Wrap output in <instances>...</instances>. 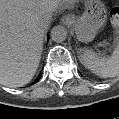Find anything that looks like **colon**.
<instances>
[{
    "instance_id": "colon-1",
    "label": "colon",
    "mask_w": 119,
    "mask_h": 119,
    "mask_svg": "<svg viewBox=\"0 0 119 119\" xmlns=\"http://www.w3.org/2000/svg\"><path fill=\"white\" fill-rule=\"evenodd\" d=\"M110 21L114 27L119 26V7H113L110 11Z\"/></svg>"
}]
</instances>
